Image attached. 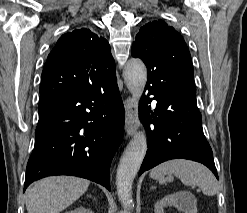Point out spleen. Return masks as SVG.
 <instances>
[{"label":"spleen","instance_id":"spleen-1","mask_svg":"<svg viewBox=\"0 0 247 213\" xmlns=\"http://www.w3.org/2000/svg\"><path fill=\"white\" fill-rule=\"evenodd\" d=\"M178 177L187 186H198L203 194L213 196L218 192L215 176L203 165L189 160H170L164 162L150 172V177L161 184Z\"/></svg>","mask_w":247,"mask_h":213}]
</instances>
